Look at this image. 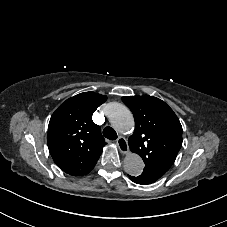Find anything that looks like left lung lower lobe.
Listing matches in <instances>:
<instances>
[{
    "mask_svg": "<svg viewBox=\"0 0 227 227\" xmlns=\"http://www.w3.org/2000/svg\"><path fill=\"white\" fill-rule=\"evenodd\" d=\"M128 176L134 183L141 184V185L151 184V183H154L156 180H158L147 174H141L140 176H137V177L130 176V175Z\"/></svg>",
    "mask_w": 227,
    "mask_h": 227,
    "instance_id": "1",
    "label": "left lung lower lobe"
}]
</instances>
